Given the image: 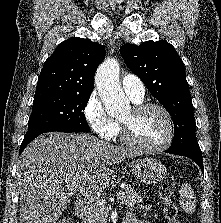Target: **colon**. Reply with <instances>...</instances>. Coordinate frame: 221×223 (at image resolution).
Returning a JSON list of instances; mask_svg holds the SVG:
<instances>
[{
	"label": "colon",
	"instance_id": "colon-1",
	"mask_svg": "<svg viewBox=\"0 0 221 223\" xmlns=\"http://www.w3.org/2000/svg\"><path fill=\"white\" fill-rule=\"evenodd\" d=\"M159 195L163 204V215L167 221L166 223H180L178 208L173 201L174 196L172 188L164 184L159 190ZM57 223H72V221L68 217H63L59 219Z\"/></svg>",
	"mask_w": 221,
	"mask_h": 223
}]
</instances>
